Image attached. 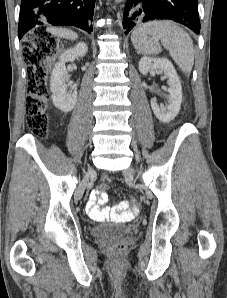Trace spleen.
<instances>
[{
  "instance_id": "3e777b00",
  "label": "spleen",
  "mask_w": 227,
  "mask_h": 298,
  "mask_svg": "<svg viewBox=\"0 0 227 298\" xmlns=\"http://www.w3.org/2000/svg\"><path fill=\"white\" fill-rule=\"evenodd\" d=\"M185 72L190 73L194 64V47L190 36L171 21H152L138 26L131 35V41L139 53L158 54L161 46Z\"/></svg>"
}]
</instances>
